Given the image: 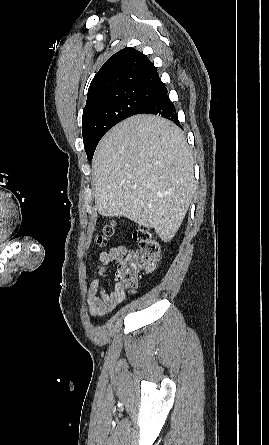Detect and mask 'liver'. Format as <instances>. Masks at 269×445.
<instances>
[{
    "label": "liver",
    "instance_id": "1",
    "mask_svg": "<svg viewBox=\"0 0 269 445\" xmlns=\"http://www.w3.org/2000/svg\"><path fill=\"white\" fill-rule=\"evenodd\" d=\"M92 168L99 214L154 228L164 242L174 237L196 190L192 152L179 127L154 115L132 116L102 138Z\"/></svg>",
    "mask_w": 269,
    "mask_h": 445
}]
</instances>
